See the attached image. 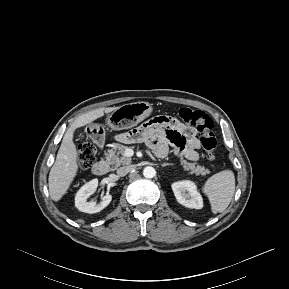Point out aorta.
Instances as JSON below:
<instances>
[{"mask_svg": "<svg viewBox=\"0 0 289 289\" xmlns=\"http://www.w3.org/2000/svg\"><path fill=\"white\" fill-rule=\"evenodd\" d=\"M155 174H156V171L151 166L145 167L143 170V175L146 178H153L155 176Z\"/></svg>", "mask_w": 289, "mask_h": 289, "instance_id": "762f6f07", "label": "aorta"}]
</instances>
